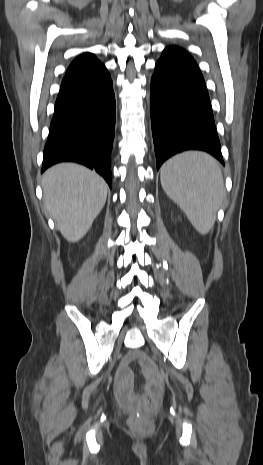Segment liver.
<instances>
[{"label": "liver", "mask_w": 263, "mask_h": 465, "mask_svg": "<svg viewBox=\"0 0 263 465\" xmlns=\"http://www.w3.org/2000/svg\"><path fill=\"white\" fill-rule=\"evenodd\" d=\"M48 214L69 242H78L90 229L107 198L108 185L95 172L74 163H61L43 175Z\"/></svg>", "instance_id": "1"}]
</instances>
